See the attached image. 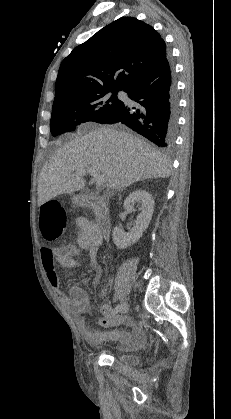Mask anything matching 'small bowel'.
I'll use <instances>...</instances> for the list:
<instances>
[{
	"instance_id": "small-bowel-1",
	"label": "small bowel",
	"mask_w": 231,
	"mask_h": 419,
	"mask_svg": "<svg viewBox=\"0 0 231 419\" xmlns=\"http://www.w3.org/2000/svg\"><path fill=\"white\" fill-rule=\"evenodd\" d=\"M75 223L78 228L76 245L42 249V265L52 289L66 309L72 314L81 315L88 312L90 308L83 284L73 285L67 294L64 293L55 271V263L65 267L78 266L80 265L78 258L83 251H86L88 264L96 273L94 281L97 283L101 274L97 252L103 239L97 226L86 217H77ZM102 294L105 295V291ZM100 311L102 317L98 320V324L104 328V331L91 330L83 322L80 323V332L87 342L94 344L112 341L123 349H136L141 346L143 333L140 328L132 327V323L127 318L116 317L110 306L106 304L100 307Z\"/></svg>"
}]
</instances>
